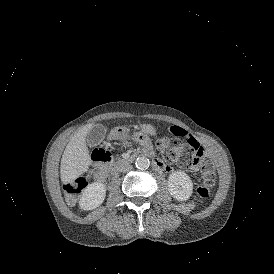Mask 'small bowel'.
Returning <instances> with one entry per match:
<instances>
[{
	"mask_svg": "<svg viewBox=\"0 0 274 274\" xmlns=\"http://www.w3.org/2000/svg\"><path fill=\"white\" fill-rule=\"evenodd\" d=\"M169 131H173V132H178V134H180V135H183L184 136V138H189V133H187L186 132V130H184L183 128H178V126H176V125H171V126H169ZM141 144H142V146L143 147H145V148H148V149H151V143H150V141L147 139V138H142L141 140ZM190 143H194V145H195V147H197V150H196V154H195V156H194V158H195V160H193V164H192V168H193V170H194V172H199V162H198V160H200V158H201V156H202V152H203V150H202V144H200V142H199V140H195V138H190ZM98 161V160H97ZM102 161H98L97 162V164L90 170V172H89V176H90V178L92 179V180H94V181H96V182H98V183H100L99 182V179L101 178V177H103V176H105L109 171H110V168H105V167H103L100 163H101Z\"/></svg>",
	"mask_w": 274,
	"mask_h": 274,
	"instance_id": "small-bowel-1",
	"label": "small bowel"
}]
</instances>
